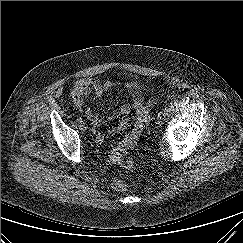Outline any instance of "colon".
I'll return each instance as SVG.
<instances>
[{
    "label": "colon",
    "mask_w": 243,
    "mask_h": 243,
    "mask_svg": "<svg viewBox=\"0 0 243 243\" xmlns=\"http://www.w3.org/2000/svg\"><path fill=\"white\" fill-rule=\"evenodd\" d=\"M154 105L153 100H148L143 106H140L136 113V123L133 131L125 137L110 153V159L117 164H128L126 160L127 153L136 145L137 139L146 126L149 119V112ZM112 187L117 191H122L126 188V183L121 178L112 180Z\"/></svg>",
    "instance_id": "colon-1"
}]
</instances>
